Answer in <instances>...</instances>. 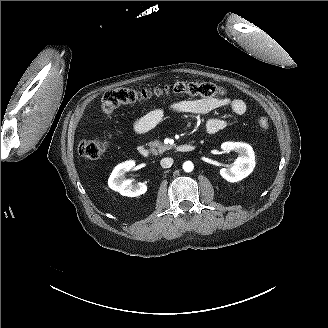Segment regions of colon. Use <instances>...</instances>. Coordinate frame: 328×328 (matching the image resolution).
Instances as JSON below:
<instances>
[{
  "mask_svg": "<svg viewBox=\"0 0 328 328\" xmlns=\"http://www.w3.org/2000/svg\"><path fill=\"white\" fill-rule=\"evenodd\" d=\"M169 95H193L220 99L224 98L225 91L211 82H177L172 85L141 90L116 88L104 94L102 109L106 114H111L115 109L123 105L148 102ZM258 125L262 129H268L269 121L267 118L261 117L258 119ZM107 146L108 142L106 140H83L78 146V151L84 158L98 159L105 153Z\"/></svg>",
  "mask_w": 328,
  "mask_h": 328,
  "instance_id": "colon-1",
  "label": "colon"
}]
</instances>
